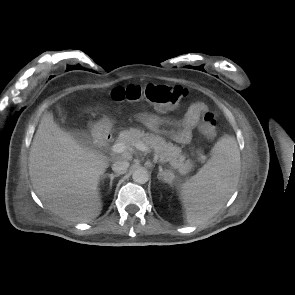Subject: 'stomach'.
Here are the masks:
<instances>
[{
	"instance_id": "stomach-1",
	"label": "stomach",
	"mask_w": 295,
	"mask_h": 295,
	"mask_svg": "<svg viewBox=\"0 0 295 295\" xmlns=\"http://www.w3.org/2000/svg\"><path fill=\"white\" fill-rule=\"evenodd\" d=\"M113 122L108 119L105 118L101 121H99L95 126H94V130L98 133H105V132H109L110 129L112 128Z\"/></svg>"
}]
</instances>
